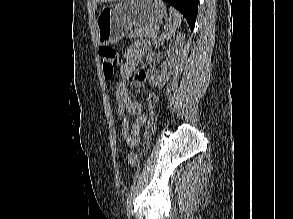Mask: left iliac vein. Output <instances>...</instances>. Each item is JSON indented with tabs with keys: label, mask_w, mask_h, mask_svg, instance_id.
Instances as JSON below:
<instances>
[{
	"label": "left iliac vein",
	"mask_w": 293,
	"mask_h": 219,
	"mask_svg": "<svg viewBox=\"0 0 293 219\" xmlns=\"http://www.w3.org/2000/svg\"><path fill=\"white\" fill-rule=\"evenodd\" d=\"M134 195H135V190L132 192V194H130L128 196L127 201H126V211H127V216L129 218L133 215L132 204H133V200H134Z\"/></svg>",
	"instance_id": "left-iliac-vein-1"
}]
</instances>
